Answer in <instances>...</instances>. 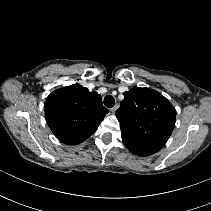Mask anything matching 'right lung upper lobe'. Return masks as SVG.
<instances>
[{
  "mask_svg": "<svg viewBox=\"0 0 211 211\" xmlns=\"http://www.w3.org/2000/svg\"><path fill=\"white\" fill-rule=\"evenodd\" d=\"M44 110L49 128L67 145H77L89 138L108 113L97 92H89L77 83L53 91Z\"/></svg>",
  "mask_w": 211,
  "mask_h": 211,
  "instance_id": "right-lung-upper-lobe-1",
  "label": "right lung upper lobe"
}]
</instances>
